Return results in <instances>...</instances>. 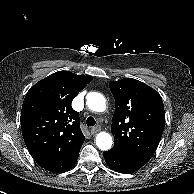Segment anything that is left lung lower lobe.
<instances>
[{
    "label": "left lung lower lobe",
    "instance_id": "left-lung-lower-lobe-1",
    "mask_svg": "<svg viewBox=\"0 0 194 194\" xmlns=\"http://www.w3.org/2000/svg\"><path fill=\"white\" fill-rule=\"evenodd\" d=\"M104 158L112 170L123 174L133 173L143 166L141 163L132 161L110 150L104 152Z\"/></svg>",
    "mask_w": 194,
    "mask_h": 194
}]
</instances>
